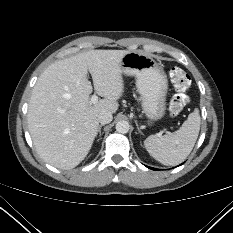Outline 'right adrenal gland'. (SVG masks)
<instances>
[{"mask_svg": "<svg viewBox=\"0 0 233 233\" xmlns=\"http://www.w3.org/2000/svg\"><path fill=\"white\" fill-rule=\"evenodd\" d=\"M103 125H100L99 128H98V134H99V139H98V142L102 139V133H101V128H102Z\"/></svg>", "mask_w": 233, "mask_h": 233, "instance_id": "obj_1", "label": "right adrenal gland"}]
</instances>
